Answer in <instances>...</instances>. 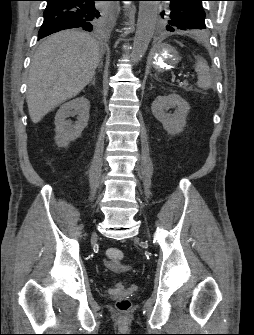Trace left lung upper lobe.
<instances>
[{
  "label": "left lung upper lobe",
  "mask_w": 254,
  "mask_h": 335,
  "mask_svg": "<svg viewBox=\"0 0 254 335\" xmlns=\"http://www.w3.org/2000/svg\"><path fill=\"white\" fill-rule=\"evenodd\" d=\"M167 7L161 12V17L168 21L166 29H206L203 0H163Z\"/></svg>",
  "instance_id": "1"
}]
</instances>
